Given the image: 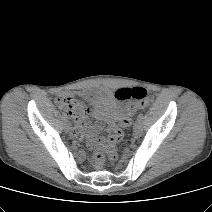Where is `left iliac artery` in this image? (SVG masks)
Instances as JSON below:
<instances>
[{
    "instance_id": "1",
    "label": "left iliac artery",
    "mask_w": 212,
    "mask_h": 212,
    "mask_svg": "<svg viewBox=\"0 0 212 212\" xmlns=\"http://www.w3.org/2000/svg\"><path fill=\"white\" fill-rule=\"evenodd\" d=\"M143 118H144L143 113H140V114L138 115V117H137V120H138V121H142Z\"/></svg>"
}]
</instances>
